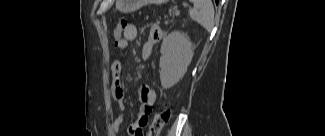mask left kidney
<instances>
[{
	"mask_svg": "<svg viewBox=\"0 0 325 136\" xmlns=\"http://www.w3.org/2000/svg\"><path fill=\"white\" fill-rule=\"evenodd\" d=\"M160 52V81L169 89L185 75L194 52L188 36L180 31H172L163 39Z\"/></svg>",
	"mask_w": 325,
	"mask_h": 136,
	"instance_id": "5707ae66",
	"label": "left kidney"
}]
</instances>
